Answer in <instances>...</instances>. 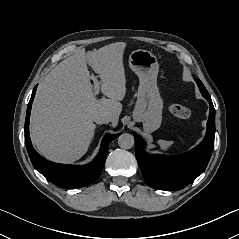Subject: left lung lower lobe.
I'll return each instance as SVG.
<instances>
[{
    "label": "left lung lower lobe",
    "instance_id": "0a47b994",
    "mask_svg": "<svg viewBox=\"0 0 239 239\" xmlns=\"http://www.w3.org/2000/svg\"><path fill=\"white\" fill-rule=\"evenodd\" d=\"M204 98L210 104L207 132L203 141L191 151L176 155L156 154L148 157L145 142L136 134L135 153L145 182L159 190H179L193 182L207 167L214 147L215 109L209 93L198 79L195 80Z\"/></svg>",
    "mask_w": 239,
    "mask_h": 239
}]
</instances>
